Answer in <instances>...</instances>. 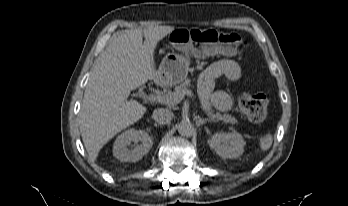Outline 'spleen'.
<instances>
[{
  "mask_svg": "<svg viewBox=\"0 0 348 206\" xmlns=\"http://www.w3.org/2000/svg\"><path fill=\"white\" fill-rule=\"evenodd\" d=\"M273 142V137L270 133L265 134L259 140V146L262 151L268 150Z\"/></svg>",
  "mask_w": 348,
  "mask_h": 206,
  "instance_id": "spleen-1",
  "label": "spleen"
}]
</instances>
